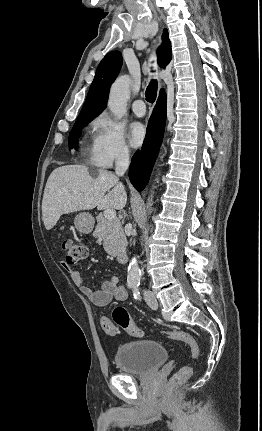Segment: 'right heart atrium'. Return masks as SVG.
Listing matches in <instances>:
<instances>
[{
    "label": "right heart atrium",
    "instance_id": "d8ad5b80",
    "mask_svg": "<svg viewBox=\"0 0 262 431\" xmlns=\"http://www.w3.org/2000/svg\"><path fill=\"white\" fill-rule=\"evenodd\" d=\"M91 158L100 166H110L116 160H125L131 154L122 127L108 115H100L94 122Z\"/></svg>",
    "mask_w": 262,
    "mask_h": 431
}]
</instances>
